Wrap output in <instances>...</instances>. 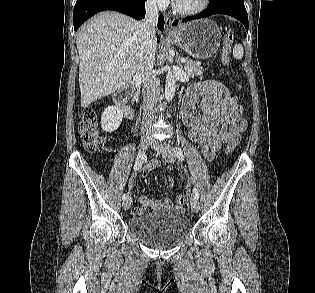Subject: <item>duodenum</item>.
Listing matches in <instances>:
<instances>
[{
    "mask_svg": "<svg viewBox=\"0 0 315 293\" xmlns=\"http://www.w3.org/2000/svg\"><path fill=\"white\" fill-rule=\"evenodd\" d=\"M130 95L131 89L123 87L114 94V102L127 118L132 119L134 117V110L128 105Z\"/></svg>",
    "mask_w": 315,
    "mask_h": 293,
    "instance_id": "1",
    "label": "duodenum"
}]
</instances>
